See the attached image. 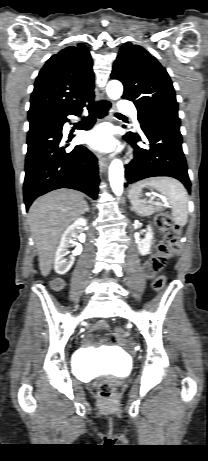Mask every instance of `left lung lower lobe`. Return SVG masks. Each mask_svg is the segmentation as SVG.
I'll use <instances>...</instances> for the list:
<instances>
[{
  "label": "left lung lower lobe",
  "instance_id": "1",
  "mask_svg": "<svg viewBox=\"0 0 208 461\" xmlns=\"http://www.w3.org/2000/svg\"><path fill=\"white\" fill-rule=\"evenodd\" d=\"M142 136L128 132L125 139L134 148V159L126 165V183L156 176H169L180 180L190 191L186 159L182 150L180 119L172 114H155L140 122ZM135 139L145 146L138 147Z\"/></svg>",
  "mask_w": 208,
  "mask_h": 461
}]
</instances>
